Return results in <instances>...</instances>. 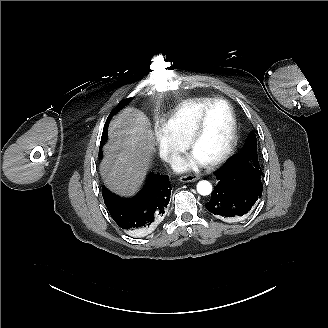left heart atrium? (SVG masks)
<instances>
[{
    "instance_id": "left-heart-atrium-1",
    "label": "left heart atrium",
    "mask_w": 328,
    "mask_h": 328,
    "mask_svg": "<svg viewBox=\"0 0 328 328\" xmlns=\"http://www.w3.org/2000/svg\"><path fill=\"white\" fill-rule=\"evenodd\" d=\"M207 164V160L195 151H191L184 158L174 164V169L178 172L198 170Z\"/></svg>"
}]
</instances>
